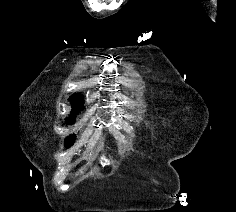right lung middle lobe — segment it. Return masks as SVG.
Masks as SVG:
<instances>
[{
  "label": "right lung middle lobe",
  "instance_id": "1",
  "mask_svg": "<svg viewBox=\"0 0 236 212\" xmlns=\"http://www.w3.org/2000/svg\"><path fill=\"white\" fill-rule=\"evenodd\" d=\"M78 112H72V116H74L75 114H77ZM66 121H69L70 123L72 122V119L71 118H67ZM74 142V136H68L66 138V141H65V146L66 147H70Z\"/></svg>",
  "mask_w": 236,
  "mask_h": 212
}]
</instances>
